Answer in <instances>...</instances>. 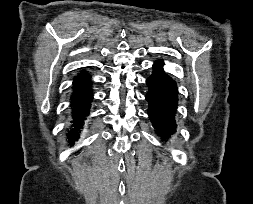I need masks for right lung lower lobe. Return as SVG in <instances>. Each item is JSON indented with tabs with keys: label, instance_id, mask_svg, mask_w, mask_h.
<instances>
[{
	"label": "right lung lower lobe",
	"instance_id": "right-lung-lower-lobe-1",
	"mask_svg": "<svg viewBox=\"0 0 253 204\" xmlns=\"http://www.w3.org/2000/svg\"><path fill=\"white\" fill-rule=\"evenodd\" d=\"M93 90L91 76L81 73L73 80V93L71 97L72 118L74 128L70 130L69 142L71 145L78 139V130L82 127V121L89 113Z\"/></svg>",
	"mask_w": 253,
	"mask_h": 204
}]
</instances>
